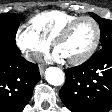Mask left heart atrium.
I'll use <instances>...</instances> for the list:
<instances>
[{"mask_svg":"<svg viewBox=\"0 0 112 112\" xmlns=\"http://www.w3.org/2000/svg\"><path fill=\"white\" fill-rule=\"evenodd\" d=\"M51 59L54 60V61H58V62H61L63 61V57L61 55H59L57 52H54L52 55H51Z\"/></svg>","mask_w":112,"mask_h":112,"instance_id":"1","label":"left heart atrium"}]
</instances>
